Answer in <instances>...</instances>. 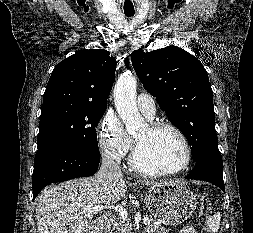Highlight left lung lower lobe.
I'll use <instances>...</instances> for the list:
<instances>
[{
	"label": "left lung lower lobe",
	"instance_id": "1",
	"mask_svg": "<svg viewBox=\"0 0 253 233\" xmlns=\"http://www.w3.org/2000/svg\"><path fill=\"white\" fill-rule=\"evenodd\" d=\"M222 172V160L205 157L196 162L195 167L185 178L208 181L225 192Z\"/></svg>",
	"mask_w": 253,
	"mask_h": 233
}]
</instances>
